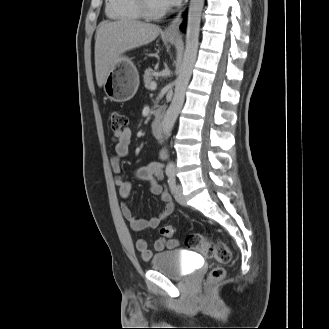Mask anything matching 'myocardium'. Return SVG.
I'll use <instances>...</instances> for the list:
<instances>
[{"instance_id": "f54148a6", "label": "myocardium", "mask_w": 329, "mask_h": 329, "mask_svg": "<svg viewBox=\"0 0 329 329\" xmlns=\"http://www.w3.org/2000/svg\"><path fill=\"white\" fill-rule=\"evenodd\" d=\"M138 7L142 13V15L147 19H159L166 15L169 9L166 7L161 10H154L149 3V0H137Z\"/></svg>"}]
</instances>
